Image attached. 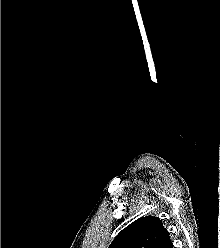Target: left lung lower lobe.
<instances>
[{
  "label": "left lung lower lobe",
  "mask_w": 220,
  "mask_h": 248,
  "mask_svg": "<svg viewBox=\"0 0 220 248\" xmlns=\"http://www.w3.org/2000/svg\"><path fill=\"white\" fill-rule=\"evenodd\" d=\"M169 248H173V245H171Z\"/></svg>",
  "instance_id": "obj_1"
}]
</instances>
